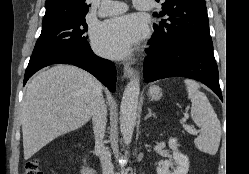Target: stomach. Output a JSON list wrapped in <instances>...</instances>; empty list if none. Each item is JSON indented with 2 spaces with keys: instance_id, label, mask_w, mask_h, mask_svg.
I'll use <instances>...</instances> for the list:
<instances>
[{
  "instance_id": "1",
  "label": "stomach",
  "mask_w": 249,
  "mask_h": 174,
  "mask_svg": "<svg viewBox=\"0 0 249 174\" xmlns=\"http://www.w3.org/2000/svg\"><path fill=\"white\" fill-rule=\"evenodd\" d=\"M148 94L152 100L157 101L162 97V90L160 87L154 85L149 88Z\"/></svg>"
}]
</instances>
